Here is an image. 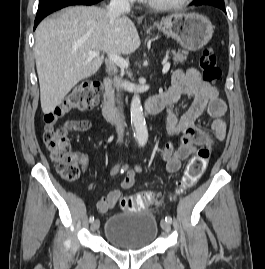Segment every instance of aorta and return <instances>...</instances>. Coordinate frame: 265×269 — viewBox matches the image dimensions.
Returning a JSON list of instances; mask_svg holds the SVG:
<instances>
[{"mask_svg":"<svg viewBox=\"0 0 265 269\" xmlns=\"http://www.w3.org/2000/svg\"><path fill=\"white\" fill-rule=\"evenodd\" d=\"M131 124L135 129L137 143L144 147L148 140V130L143 116V108L138 93H135L130 106Z\"/></svg>","mask_w":265,"mask_h":269,"instance_id":"aorta-1","label":"aorta"}]
</instances>
